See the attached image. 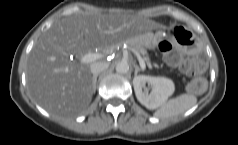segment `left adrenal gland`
Listing matches in <instances>:
<instances>
[{
    "mask_svg": "<svg viewBox=\"0 0 238 145\" xmlns=\"http://www.w3.org/2000/svg\"><path fill=\"white\" fill-rule=\"evenodd\" d=\"M134 68H135V71H134V75L137 76L138 72L140 71H144V69L140 68L138 65L134 64Z\"/></svg>",
    "mask_w": 238,
    "mask_h": 145,
    "instance_id": "left-adrenal-gland-1",
    "label": "left adrenal gland"
}]
</instances>
